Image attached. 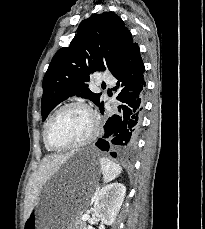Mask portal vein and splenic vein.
I'll list each match as a JSON object with an SVG mask.
<instances>
[{"mask_svg": "<svg viewBox=\"0 0 205 229\" xmlns=\"http://www.w3.org/2000/svg\"><path fill=\"white\" fill-rule=\"evenodd\" d=\"M87 217H88V215H84V216L82 217V219L85 220Z\"/></svg>", "mask_w": 205, "mask_h": 229, "instance_id": "portal-vein-and-splenic-vein-1", "label": "portal vein and splenic vein"}]
</instances>
